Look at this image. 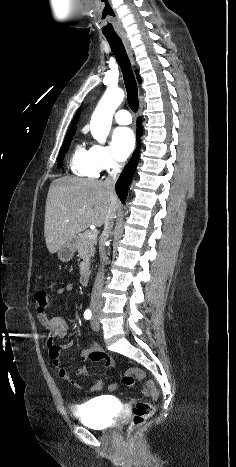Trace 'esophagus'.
<instances>
[{
    "label": "esophagus",
    "mask_w": 236,
    "mask_h": 467,
    "mask_svg": "<svg viewBox=\"0 0 236 467\" xmlns=\"http://www.w3.org/2000/svg\"><path fill=\"white\" fill-rule=\"evenodd\" d=\"M121 39H122V42L124 44V47L126 49V52H127L128 56L130 58V61H131L132 65L135 66V59H134V55H133V50L131 48V45H130V42H129L128 38L127 37H122Z\"/></svg>",
    "instance_id": "obj_1"
}]
</instances>
